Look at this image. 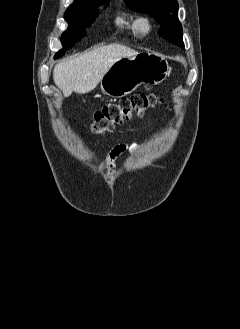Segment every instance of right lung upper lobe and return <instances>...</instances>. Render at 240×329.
<instances>
[{
	"label": "right lung upper lobe",
	"mask_w": 240,
	"mask_h": 329,
	"mask_svg": "<svg viewBox=\"0 0 240 329\" xmlns=\"http://www.w3.org/2000/svg\"><path fill=\"white\" fill-rule=\"evenodd\" d=\"M109 0H75L69 8H83L95 5L97 2H104Z\"/></svg>",
	"instance_id": "cb5924a9"
}]
</instances>
